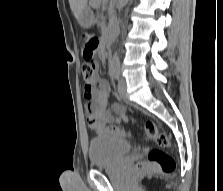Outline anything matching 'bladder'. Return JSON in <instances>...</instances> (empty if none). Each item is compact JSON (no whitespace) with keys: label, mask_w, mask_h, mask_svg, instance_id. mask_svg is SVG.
Instances as JSON below:
<instances>
[{"label":"bladder","mask_w":223,"mask_h":191,"mask_svg":"<svg viewBox=\"0 0 223 191\" xmlns=\"http://www.w3.org/2000/svg\"><path fill=\"white\" fill-rule=\"evenodd\" d=\"M132 150L127 140L116 136H97L88 145L90 165L95 168L116 165Z\"/></svg>","instance_id":"bladder-1"}]
</instances>
